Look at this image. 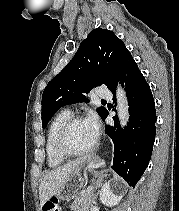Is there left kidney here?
Listing matches in <instances>:
<instances>
[{"label":"left kidney","mask_w":179,"mask_h":211,"mask_svg":"<svg viewBox=\"0 0 179 211\" xmlns=\"http://www.w3.org/2000/svg\"><path fill=\"white\" fill-rule=\"evenodd\" d=\"M123 197V189L115 183L106 182L100 191V200L106 206L117 205Z\"/></svg>","instance_id":"1"}]
</instances>
